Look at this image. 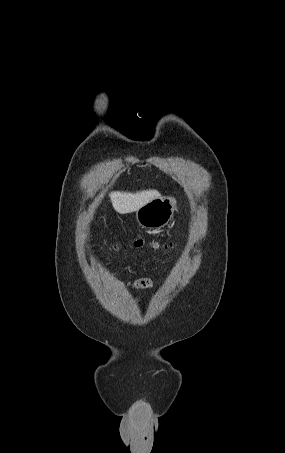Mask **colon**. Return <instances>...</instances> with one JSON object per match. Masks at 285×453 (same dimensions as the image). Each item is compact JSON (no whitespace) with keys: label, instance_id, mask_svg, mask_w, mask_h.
<instances>
[{"label":"colon","instance_id":"obj_1","mask_svg":"<svg viewBox=\"0 0 285 453\" xmlns=\"http://www.w3.org/2000/svg\"><path fill=\"white\" fill-rule=\"evenodd\" d=\"M144 244H145V241L143 239H136L131 243V245L135 248H142L144 246ZM149 244L155 250H158V249L168 250L173 247L172 242L161 243L159 241L154 240V241H151ZM114 250H118V246H114Z\"/></svg>","mask_w":285,"mask_h":453}]
</instances>
